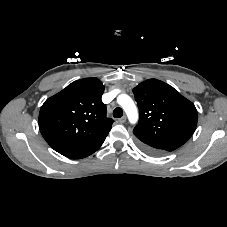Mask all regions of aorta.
Here are the masks:
<instances>
[{"mask_svg": "<svg viewBox=\"0 0 227 227\" xmlns=\"http://www.w3.org/2000/svg\"><path fill=\"white\" fill-rule=\"evenodd\" d=\"M117 101L126 112L130 123H136L138 120V111L132 98L126 94H121L118 96Z\"/></svg>", "mask_w": 227, "mask_h": 227, "instance_id": "1", "label": "aorta"}]
</instances>
